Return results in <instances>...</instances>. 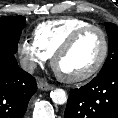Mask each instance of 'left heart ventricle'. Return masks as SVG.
Returning <instances> with one entry per match:
<instances>
[{"instance_id":"left-heart-ventricle-1","label":"left heart ventricle","mask_w":118,"mask_h":118,"mask_svg":"<svg viewBox=\"0 0 118 118\" xmlns=\"http://www.w3.org/2000/svg\"><path fill=\"white\" fill-rule=\"evenodd\" d=\"M103 50L101 35L90 31L57 62V70L64 76H78L89 71L99 60Z\"/></svg>"}]
</instances>
